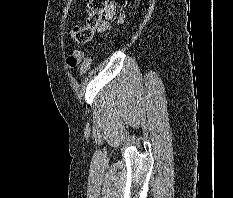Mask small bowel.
Listing matches in <instances>:
<instances>
[{
    "label": "small bowel",
    "instance_id": "c3829d8e",
    "mask_svg": "<svg viewBox=\"0 0 233 198\" xmlns=\"http://www.w3.org/2000/svg\"><path fill=\"white\" fill-rule=\"evenodd\" d=\"M117 16V10H116V6L114 4H109L108 7L105 10L104 13V20L101 19L99 25L95 28L93 34L96 31H103L108 27V21L112 20L113 18H115ZM78 60L80 61L83 57V54L81 52H76L74 54Z\"/></svg>",
    "mask_w": 233,
    "mask_h": 198
}]
</instances>
